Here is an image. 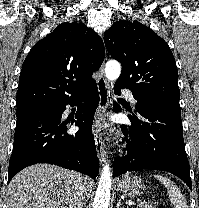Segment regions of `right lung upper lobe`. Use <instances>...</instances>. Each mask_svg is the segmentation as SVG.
<instances>
[{
  "label": "right lung upper lobe",
  "mask_w": 199,
  "mask_h": 208,
  "mask_svg": "<svg viewBox=\"0 0 199 208\" xmlns=\"http://www.w3.org/2000/svg\"><path fill=\"white\" fill-rule=\"evenodd\" d=\"M105 57L102 39L84 23L66 22L31 49L23 62L17 109L52 106L72 99L95 83Z\"/></svg>",
  "instance_id": "right-lung-upper-lobe-1"
}]
</instances>
